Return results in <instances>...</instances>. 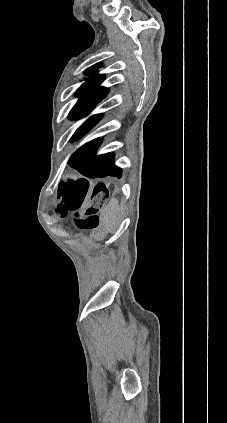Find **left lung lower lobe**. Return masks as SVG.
<instances>
[{
    "label": "left lung lower lobe",
    "instance_id": "left-lung-lower-lobe-1",
    "mask_svg": "<svg viewBox=\"0 0 227 423\" xmlns=\"http://www.w3.org/2000/svg\"><path fill=\"white\" fill-rule=\"evenodd\" d=\"M98 121L90 123L77 131L71 138V141L81 138ZM100 138L92 140L80 147L70 158L69 165L78 170L84 176L89 178L118 176L121 177V169L114 166V154L95 156L98 149Z\"/></svg>",
    "mask_w": 227,
    "mask_h": 423
}]
</instances>
